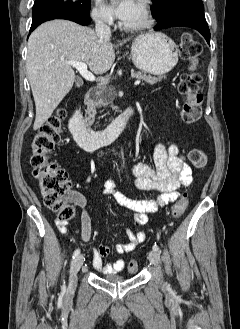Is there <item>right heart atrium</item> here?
Masks as SVG:
<instances>
[{
    "label": "right heart atrium",
    "mask_w": 240,
    "mask_h": 329,
    "mask_svg": "<svg viewBox=\"0 0 240 329\" xmlns=\"http://www.w3.org/2000/svg\"><path fill=\"white\" fill-rule=\"evenodd\" d=\"M91 15L95 22L100 25H110L112 23V17L100 0H94Z\"/></svg>",
    "instance_id": "right-heart-atrium-1"
}]
</instances>
